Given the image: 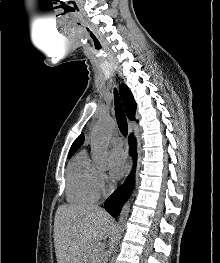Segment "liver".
Instances as JSON below:
<instances>
[{
    "label": "liver",
    "instance_id": "obj_1",
    "mask_svg": "<svg viewBox=\"0 0 220 263\" xmlns=\"http://www.w3.org/2000/svg\"><path fill=\"white\" fill-rule=\"evenodd\" d=\"M113 218L101 207L65 204L54 221V245L58 263H94L93 251L101 250L113 229Z\"/></svg>",
    "mask_w": 220,
    "mask_h": 263
}]
</instances>
